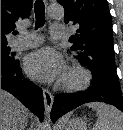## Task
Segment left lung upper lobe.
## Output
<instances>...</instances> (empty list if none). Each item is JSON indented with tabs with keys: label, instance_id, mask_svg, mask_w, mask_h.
I'll use <instances>...</instances> for the list:
<instances>
[{
	"label": "left lung upper lobe",
	"instance_id": "5c2ea615",
	"mask_svg": "<svg viewBox=\"0 0 123 130\" xmlns=\"http://www.w3.org/2000/svg\"><path fill=\"white\" fill-rule=\"evenodd\" d=\"M63 5L66 24L77 33L69 39L76 58L89 67L93 76L119 83L115 69L112 18L106 0H57Z\"/></svg>",
	"mask_w": 123,
	"mask_h": 130
}]
</instances>
